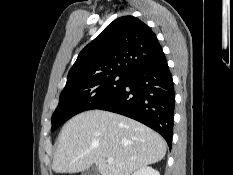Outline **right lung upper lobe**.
I'll return each mask as SVG.
<instances>
[{"label":"right lung upper lobe","instance_id":"cb5924a9","mask_svg":"<svg viewBox=\"0 0 233 175\" xmlns=\"http://www.w3.org/2000/svg\"><path fill=\"white\" fill-rule=\"evenodd\" d=\"M162 54L156 35L145 23L133 16H123L80 52L67 83L110 72L130 74Z\"/></svg>","mask_w":233,"mask_h":175}]
</instances>
